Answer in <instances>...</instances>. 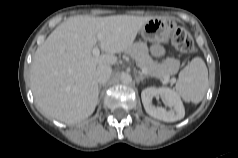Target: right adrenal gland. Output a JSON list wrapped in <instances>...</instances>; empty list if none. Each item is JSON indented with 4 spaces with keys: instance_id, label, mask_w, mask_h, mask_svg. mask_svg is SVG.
Returning <instances> with one entry per match:
<instances>
[{
    "instance_id": "1",
    "label": "right adrenal gland",
    "mask_w": 238,
    "mask_h": 158,
    "mask_svg": "<svg viewBox=\"0 0 238 158\" xmlns=\"http://www.w3.org/2000/svg\"><path fill=\"white\" fill-rule=\"evenodd\" d=\"M105 86V84H103V85H99V91L102 89V87H104Z\"/></svg>"
}]
</instances>
